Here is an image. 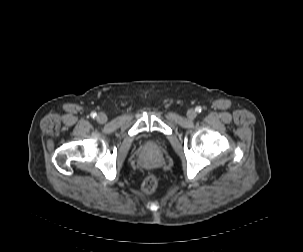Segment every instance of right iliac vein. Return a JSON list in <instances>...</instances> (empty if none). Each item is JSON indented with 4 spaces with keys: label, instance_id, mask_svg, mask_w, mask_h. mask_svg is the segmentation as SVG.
Listing matches in <instances>:
<instances>
[{
    "label": "right iliac vein",
    "instance_id": "obj_1",
    "mask_svg": "<svg viewBox=\"0 0 303 252\" xmlns=\"http://www.w3.org/2000/svg\"><path fill=\"white\" fill-rule=\"evenodd\" d=\"M97 121L101 124L105 123L107 121V116L104 113H99L97 115Z\"/></svg>",
    "mask_w": 303,
    "mask_h": 252
}]
</instances>
